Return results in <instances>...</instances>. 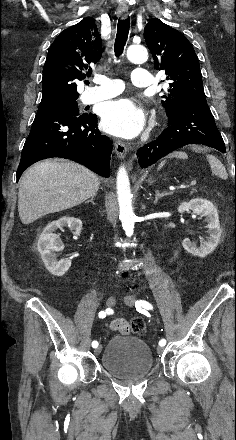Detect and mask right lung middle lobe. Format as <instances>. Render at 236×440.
Instances as JSON below:
<instances>
[{"label": "right lung middle lobe", "mask_w": 236, "mask_h": 440, "mask_svg": "<svg viewBox=\"0 0 236 440\" xmlns=\"http://www.w3.org/2000/svg\"><path fill=\"white\" fill-rule=\"evenodd\" d=\"M44 108L60 109V110L71 111L73 113L79 114V108H78V104H77L76 101L62 103V104H57V105H53V106H49V107H44ZM44 108H39V109H44Z\"/></svg>", "instance_id": "1"}]
</instances>
